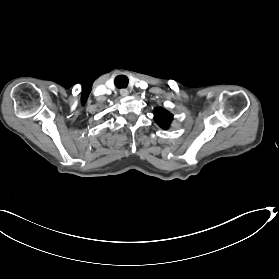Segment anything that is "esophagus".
Wrapping results in <instances>:
<instances>
[{
    "mask_svg": "<svg viewBox=\"0 0 279 279\" xmlns=\"http://www.w3.org/2000/svg\"><path fill=\"white\" fill-rule=\"evenodd\" d=\"M120 94H121L123 97H125V96H127V95L129 94V92H128L127 89H122V90H120Z\"/></svg>",
    "mask_w": 279,
    "mask_h": 279,
    "instance_id": "esophagus-1",
    "label": "esophagus"
}]
</instances>
